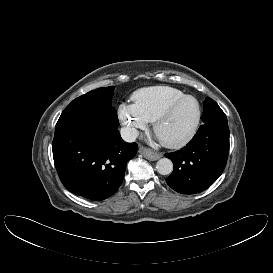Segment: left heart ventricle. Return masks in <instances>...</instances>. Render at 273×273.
<instances>
[{
  "mask_svg": "<svg viewBox=\"0 0 273 273\" xmlns=\"http://www.w3.org/2000/svg\"><path fill=\"white\" fill-rule=\"evenodd\" d=\"M197 116V106L192 100L179 104L171 115L162 122L157 136L164 141H177L183 138L192 128Z\"/></svg>",
  "mask_w": 273,
  "mask_h": 273,
  "instance_id": "1",
  "label": "left heart ventricle"
}]
</instances>
